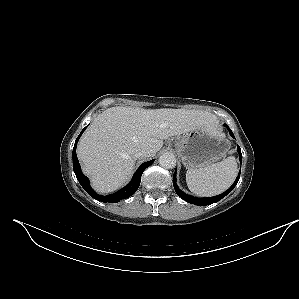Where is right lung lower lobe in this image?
<instances>
[{
	"label": "right lung lower lobe",
	"instance_id": "right-lung-lower-lobe-1",
	"mask_svg": "<svg viewBox=\"0 0 299 299\" xmlns=\"http://www.w3.org/2000/svg\"><path fill=\"white\" fill-rule=\"evenodd\" d=\"M85 129L86 127L81 131L80 135L77 137L73 148V169L81 186L91 197L104 203H116L122 199H126L133 195L140 185L142 173L148 166H150L154 162V160H150L148 162L143 163L134 174L132 181L127 186L120 189L118 192L107 196L99 195L96 192H94V190L90 187L89 179L81 172V167L76 155L78 139L80 138L81 134Z\"/></svg>",
	"mask_w": 299,
	"mask_h": 299
}]
</instances>
